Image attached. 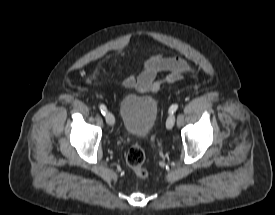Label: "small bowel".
I'll list each match as a JSON object with an SVG mask.
<instances>
[{"mask_svg":"<svg viewBox=\"0 0 275 215\" xmlns=\"http://www.w3.org/2000/svg\"><path fill=\"white\" fill-rule=\"evenodd\" d=\"M188 64L179 57H169L162 53H154L142 63V72L135 76L129 75L123 81V86L140 93H156L164 84L181 80L188 71ZM169 71V74L157 79L159 72Z\"/></svg>","mask_w":275,"mask_h":215,"instance_id":"small-bowel-1","label":"small bowel"}]
</instances>
